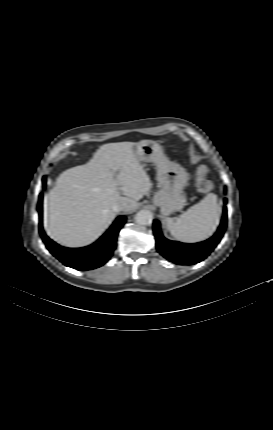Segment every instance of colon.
Returning a JSON list of instances; mask_svg holds the SVG:
<instances>
[{
    "label": "colon",
    "instance_id": "obj_1",
    "mask_svg": "<svg viewBox=\"0 0 273 430\" xmlns=\"http://www.w3.org/2000/svg\"><path fill=\"white\" fill-rule=\"evenodd\" d=\"M208 172L206 166H200L194 177L197 190L203 194L209 193L213 189V183L208 177Z\"/></svg>",
    "mask_w": 273,
    "mask_h": 430
}]
</instances>
